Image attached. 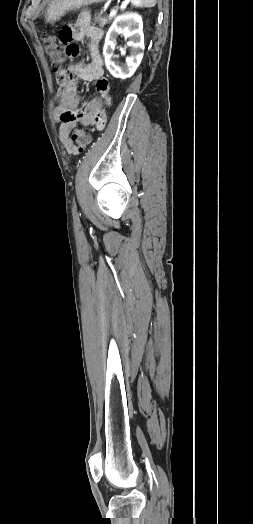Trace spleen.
I'll return each mask as SVG.
<instances>
[{
	"label": "spleen",
	"mask_w": 253,
	"mask_h": 524,
	"mask_svg": "<svg viewBox=\"0 0 253 524\" xmlns=\"http://www.w3.org/2000/svg\"><path fill=\"white\" fill-rule=\"evenodd\" d=\"M135 7H154L156 0H130Z\"/></svg>",
	"instance_id": "obj_1"
}]
</instances>
